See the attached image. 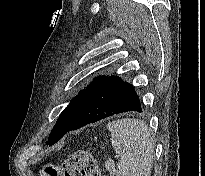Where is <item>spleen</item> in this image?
<instances>
[{
  "mask_svg": "<svg viewBox=\"0 0 205 176\" xmlns=\"http://www.w3.org/2000/svg\"><path fill=\"white\" fill-rule=\"evenodd\" d=\"M111 143L120 156L116 176H150L154 141L148 126L138 119H118L107 124Z\"/></svg>",
  "mask_w": 205,
  "mask_h": 176,
  "instance_id": "1",
  "label": "spleen"
}]
</instances>
